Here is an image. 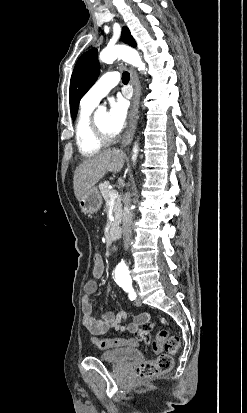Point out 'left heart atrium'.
Instances as JSON below:
<instances>
[{"instance_id":"39dd6f15","label":"left heart atrium","mask_w":247,"mask_h":413,"mask_svg":"<svg viewBox=\"0 0 247 413\" xmlns=\"http://www.w3.org/2000/svg\"><path fill=\"white\" fill-rule=\"evenodd\" d=\"M127 107L125 101L119 98H111L106 125L111 136H116L125 125Z\"/></svg>"}]
</instances>
